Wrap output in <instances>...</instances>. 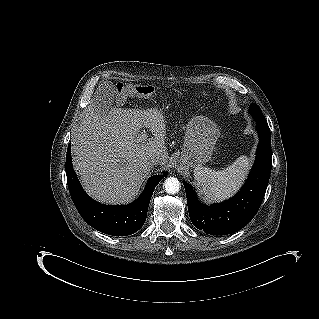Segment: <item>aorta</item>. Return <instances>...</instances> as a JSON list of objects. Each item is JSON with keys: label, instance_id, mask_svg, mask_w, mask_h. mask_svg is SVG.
I'll use <instances>...</instances> for the list:
<instances>
[{"label": "aorta", "instance_id": "1", "mask_svg": "<svg viewBox=\"0 0 319 319\" xmlns=\"http://www.w3.org/2000/svg\"><path fill=\"white\" fill-rule=\"evenodd\" d=\"M164 188L168 194H176L180 190V182L177 178L169 177L164 181Z\"/></svg>", "mask_w": 319, "mask_h": 319}]
</instances>
